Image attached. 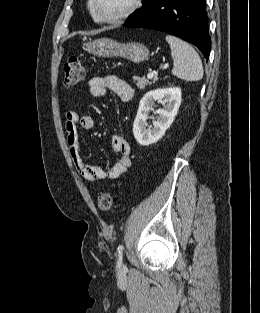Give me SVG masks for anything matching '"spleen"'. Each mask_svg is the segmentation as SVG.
I'll return each instance as SVG.
<instances>
[{
	"instance_id": "3e777b00",
	"label": "spleen",
	"mask_w": 260,
	"mask_h": 313,
	"mask_svg": "<svg viewBox=\"0 0 260 313\" xmlns=\"http://www.w3.org/2000/svg\"><path fill=\"white\" fill-rule=\"evenodd\" d=\"M166 41L170 45L173 58L172 74L186 81L201 80L204 71L201 59L195 49L172 35H167Z\"/></svg>"
}]
</instances>
